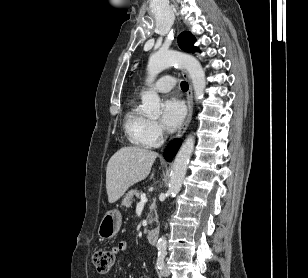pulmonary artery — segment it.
Here are the masks:
<instances>
[{"label":"pulmonary artery","instance_id":"e3ab8cb5","mask_svg":"<svg viewBox=\"0 0 308 278\" xmlns=\"http://www.w3.org/2000/svg\"><path fill=\"white\" fill-rule=\"evenodd\" d=\"M175 85V79L171 76L160 78L154 85V90L160 93L169 92Z\"/></svg>","mask_w":308,"mask_h":278}]
</instances>
